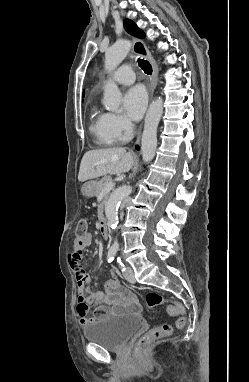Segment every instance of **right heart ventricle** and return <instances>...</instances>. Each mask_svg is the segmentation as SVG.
I'll return each instance as SVG.
<instances>
[{"mask_svg":"<svg viewBox=\"0 0 249 382\" xmlns=\"http://www.w3.org/2000/svg\"><path fill=\"white\" fill-rule=\"evenodd\" d=\"M91 131L103 145L114 144L117 140L112 137L107 128V114L101 112L96 106L91 108Z\"/></svg>","mask_w":249,"mask_h":382,"instance_id":"1","label":"right heart ventricle"}]
</instances>
